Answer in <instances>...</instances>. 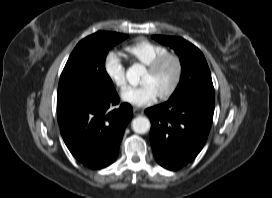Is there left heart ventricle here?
<instances>
[{"label": "left heart ventricle", "mask_w": 272, "mask_h": 198, "mask_svg": "<svg viewBox=\"0 0 272 198\" xmlns=\"http://www.w3.org/2000/svg\"><path fill=\"white\" fill-rule=\"evenodd\" d=\"M175 76V65L173 62H167L158 72L152 74L146 70L142 83H150L158 95L164 92L172 83Z\"/></svg>", "instance_id": "b2bd125f"}]
</instances>
